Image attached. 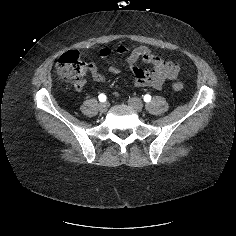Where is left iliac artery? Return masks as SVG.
<instances>
[{
    "label": "left iliac artery",
    "instance_id": "obj_1",
    "mask_svg": "<svg viewBox=\"0 0 236 236\" xmlns=\"http://www.w3.org/2000/svg\"><path fill=\"white\" fill-rule=\"evenodd\" d=\"M150 100H151V96H150L149 94H146V95L144 96V101H145V102H150Z\"/></svg>",
    "mask_w": 236,
    "mask_h": 236
}]
</instances>
